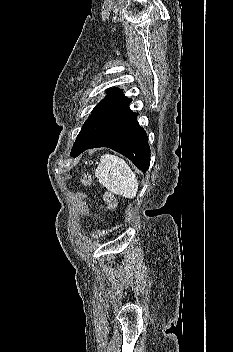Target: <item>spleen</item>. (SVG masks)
I'll return each instance as SVG.
<instances>
[{
    "label": "spleen",
    "instance_id": "1",
    "mask_svg": "<svg viewBox=\"0 0 233 352\" xmlns=\"http://www.w3.org/2000/svg\"><path fill=\"white\" fill-rule=\"evenodd\" d=\"M95 175L108 191L128 199L136 197L137 177L120 157L111 154L102 155Z\"/></svg>",
    "mask_w": 233,
    "mask_h": 352
}]
</instances>
